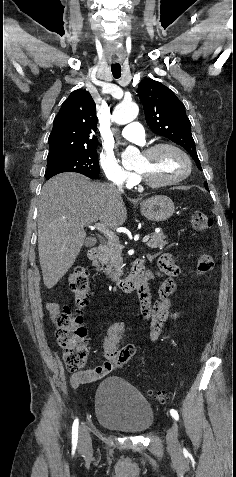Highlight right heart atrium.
Here are the masks:
<instances>
[{
	"mask_svg": "<svg viewBox=\"0 0 236 477\" xmlns=\"http://www.w3.org/2000/svg\"><path fill=\"white\" fill-rule=\"evenodd\" d=\"M100 167L107 181L112 184L127 186L135 182V175L126 170L111 153L101 154Z\"/></svg>",
	"mask_w": 236,
	"mask_h": 477,
	"instance_id": "d8ad5b80",
	"label": "right heart atrium"
}]
</instances>
